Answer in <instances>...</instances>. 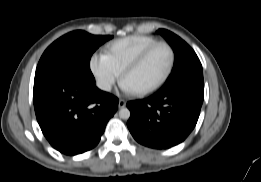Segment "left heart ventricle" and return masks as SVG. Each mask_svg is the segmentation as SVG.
<instances>
[{"instance_id":"obj_1","label":"left heart ventricle","mask_w":261,"mask_h":182,"mask_svg":"<svg viewBox=\"0 0 261 182\" xmlns=\"http://www.w3.org/2000/svg\"><path fill=\"white\" fill-rule=\"evenodd\" d=\"M170 58L168 48L163 46L157 48L139 68L128 75L125 83L133 91L143 90L154 85L166 73Z\"/></svg>"}]
</instances>
